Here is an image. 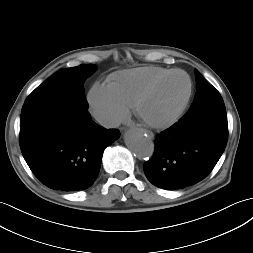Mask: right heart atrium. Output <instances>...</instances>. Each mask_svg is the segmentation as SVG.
Returning a JSON list of instances; mask_svg holds the SVG:
<instances>
[{
    "label": "right heart atrium",
    "mask_w": 253,
    "mask_h": 253,
    "mask_svg": "<svg viewBox=\"0 0 253 253\" xmlns=\"http://www.w3.org/2000/svg\"><path fill=\"white\" fill-rule=\"evenodd\" d=\"M88 104L94 117L106 126H115L126 119L128 107L112 88L103 83L93 84L88 93Z\"/></svg>",
    "instance_id": "d8ad5b80"
}]
</instances>
